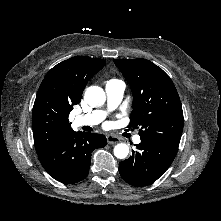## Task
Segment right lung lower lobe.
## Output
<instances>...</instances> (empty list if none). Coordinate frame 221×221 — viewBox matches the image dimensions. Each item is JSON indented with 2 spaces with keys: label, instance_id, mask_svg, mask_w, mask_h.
<instances>
[{
  "label": "right lung lower lobe",
  "instance_id": "98d812e1",
  "mask_svg": "<svg viewBox=\"0 0 221 221\" xmlns=\"http://www.w3.org/2000/svg\"><path fill=\"white\" fill-rule=\"evenodd\" d=\"M104 135L74 132L61 143L38 155L44 169L57 181L73 184L83 180L89 172L91 153L102 148Z\"/></svg>",
  "mask_w": 221,
  "mask_h": 221
}]
</instances>
